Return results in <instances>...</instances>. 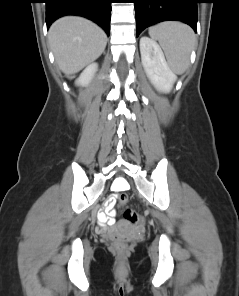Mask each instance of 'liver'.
<instances>
[{
    "label": "liver",
    "mask_w": 239,
    "mask_h": 296,
    "mask_svg": "<svg viewBox=\"0 0 239 296\" xmlns=\"http://www.w3.org/2000/svg\"><path fill=\"white\" fill-rule=\"evenodd\" d=\"M48 38L55 61L66 75L75 74L96 60L107 44V36L98 25L76 16L55 21Z\"/></svg>",
    "instance_id": "obj_1"
}]
</instances>
